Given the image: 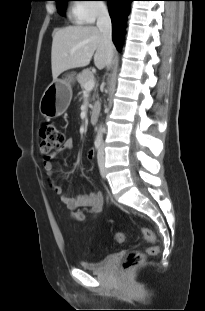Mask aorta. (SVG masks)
<instances>
[{
    "instance_id": "762f6f07",
    "label": "aorta",
    "mask_w": 205,
    "mask_h": 311,
    "mask_svg": "<svg viewBox=\"0 0 205 311\" xmlns=\"http://www.w3.org/2000/svg\"><path fill=\"white\" fill-rule=\"evenodd\" d=\"M101 138H102L101 132H98L97 140H101Z\"/></svg>"
}]
</instances>
